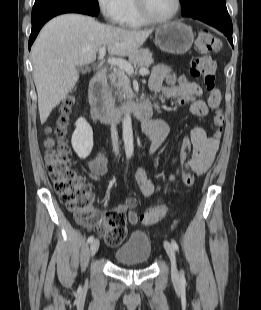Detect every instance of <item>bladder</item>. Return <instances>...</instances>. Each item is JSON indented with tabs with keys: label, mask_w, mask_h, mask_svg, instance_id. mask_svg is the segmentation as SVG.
<instances>
[{
	"label": "bladder",
	"mask_w": 261,
	"mask_h": 310,
	"mask_svg": "<svg viewBox=\"0 0 261 310\" xmlns=\"http://www.w3.org/2000/svg\"><path fill=\"white\" fill-rule=\"evenodd\" d=\"M151 255V241L143 231H133L113 253L116 261L122 264H145L150 260Z\"/></svg>",
	"instance_id": "obj_1"
}]
</instances>
